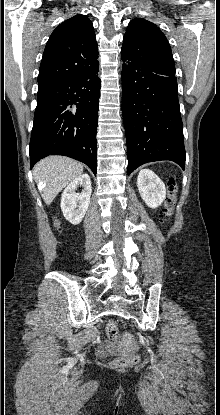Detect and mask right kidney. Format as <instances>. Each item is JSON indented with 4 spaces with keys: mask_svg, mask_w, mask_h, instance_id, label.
I'll list each match as a JSON object with an SVG mask.
<instances>
[{
    "mask_svg": "<svg viewBox=\"0 0 220 415\" xmlns=\"http://www.w3.org/2000/svg\"><path fill=\"white\" fill-rule=\"evenodd\" d=\"M78 186L84 188L81 194L75 192ZM91 193V181L88 174L78 176L67 185L61 197V210L66 220L74 225L82 221L90 204Z\"/></svg>",
    "mask_w": 220,
    "mask_h": 415,
    "instance_id": "right-kidney-1",
    "label": "right kidney"
}]
</instances>
